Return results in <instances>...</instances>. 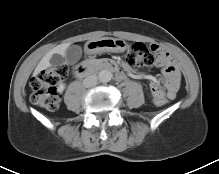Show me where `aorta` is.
<instances>
[{
  "instance_id": "aorta-1",
  "label": "aorta",
  "mask_w": 219,
  "mask_h": 174,
  "mask_svg": "<svg viewBox=\"0 0 219 174\" xmlns=\"http://www.w3.org/2000/svg\"><path fill=\"white\" fill-rule=\"evenodd\" d=\"M112 73L109 70H102L99 72L98 74V79L105 83V82H109L112 79Z\"/></svg>"
}]
</instances>
